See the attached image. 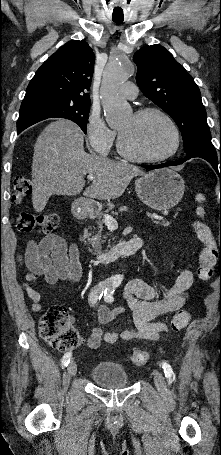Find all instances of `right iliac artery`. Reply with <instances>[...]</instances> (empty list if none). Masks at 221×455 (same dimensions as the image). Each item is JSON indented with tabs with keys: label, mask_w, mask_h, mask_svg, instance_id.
<instances>
[{
	"label": "right iliac artery",
	"mask_w": 221,
	"mask_h": 455,
	"mask_svg": "<svg viewBox=\"0 0 221 455\" xmlns=\"http://www.w3.org/2000/svg\"><path fill=\"white\" fill-rule=\"evenodd\" d=\"M109 286L110 285H108L107 283L102 282L92 288V290L89 294V297H88V300H89V303L91 306L96 305L98 300L101 299L103 293H105V291L108 289ZM71 355H72L71 352H67L64 354L62 361H61V365L63 368L69 364Z\"/></svg>",
	"instance_id": "right-iliac-artery-1"
}]
</instances>
